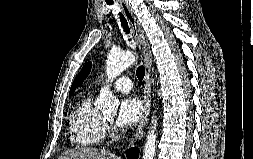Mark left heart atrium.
Listing matches in <instances>:
<instances>
[{
  "label": "left heart atrium",
  "mask_w": 253,
  "mask_h": 159,
  "mask_svg": "<svg viewBox=\"0 0 253 159\" xmlns=\"http://www.w3.org/2000/svg\"><path fill=\"white\" fill-rule=\"evenodd\" d=\"M143 106L138 97L126 96L122 99L115 124L119 127H131L142 116Z\"/></svg>",
  "instance_id": "obj_1"
}]
</instances>
